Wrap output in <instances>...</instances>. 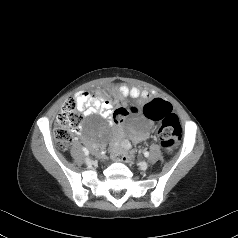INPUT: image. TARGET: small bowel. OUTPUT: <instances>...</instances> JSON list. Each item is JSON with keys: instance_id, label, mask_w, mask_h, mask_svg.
Here are the masks:
<instances>
[{"instance_id": "c3829d8e", "label": "small bowel", "mask_w": 238, "mask_h": 238, "mask_svg": "<svg viewBox=\"0 0 238 238\" xmlns=\"http://www.w3.org/2000/svg\"><path fill=\"white\" fill-rule=\"evenodd\" d=\"M76 101L80 110L85 117H89L92 114H99L104 118L110 116L113 104L110 100L100 97L97 93L93 92H80L76 95ZM143 136H137L134 140L140 141ZM118 144L128 149L130 147V140L126 137H122Z\"/></svg>"}]
</instances>
